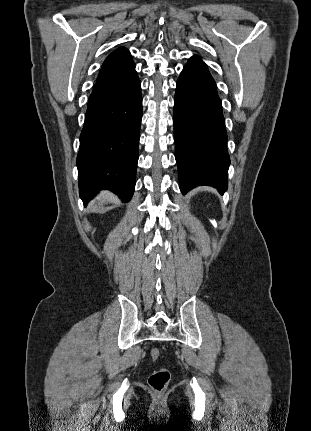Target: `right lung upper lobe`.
<instances>
[{"instance_id": "right-lung-upper-lobe-1", "label": "right lung upper lobe", "mask_w": 311, "mask_h": 431, "mask_svg": "<svg viewBox=\"0 0 311 431\" xmlns=\"http://www.w3.org/2000/svg\"><path fill=\"white\" fill-rule=\"evenodd\" d=\"M134 65L130 52L123 47L118 48L104 61L97 81L123 74Z\"/></svg>"}]
</instances>
